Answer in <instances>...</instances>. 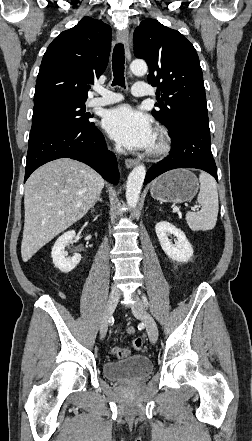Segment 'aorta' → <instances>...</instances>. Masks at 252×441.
<instances>
[{"instance_id": "aorta-1", "label": "aorta", "mask_w": 252, "mask_h": 441, "mask_svg": "<svg viewBox=\"0 0 252 441\" xmlns=\"http://www.w3.org/2000/svg\"><path fill=\"white\" fill-rule=\"evenodd\" d=\"M130 69L135 75H144L147 70V64L143 60H134L130 64ZM146 175V168L143 164L137 165L130 172L126 183V200L130 208H135L139 202L142 185Z\"/></svg>"}]
</instances>
